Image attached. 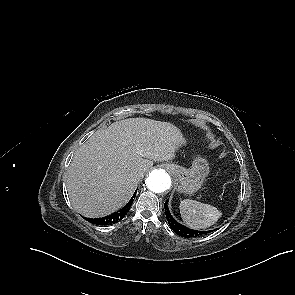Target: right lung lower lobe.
Masks as SVG:
<instances>
[{
	"label": "right lung lower lobe",
	"mask_w": 295,
	"mask_h": 295,
	"mask_svg": "<svg viewBox=\"0 0 295 295\" xmlns=\"http://www.w3.org/2000/svg\"><path fill=\"white\" fill-rule=\"evenodd\" d=\"M136 196V192L134 193V195L132 196V198L130 199V201L126 204V206H124L122 209H120L119 211L103 217V218H95V219H88V218H84L87 221H89L92 224H96V225H110V224H115L118 221H120L121 219H123L125 217V215L127 214V212L130 210L131 205L135 199Z\"/></svg>",
	"instance_id": "98d812e1"
}]
</instances>
